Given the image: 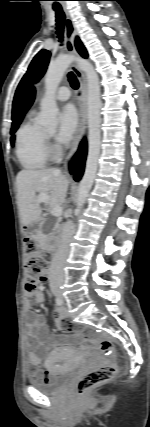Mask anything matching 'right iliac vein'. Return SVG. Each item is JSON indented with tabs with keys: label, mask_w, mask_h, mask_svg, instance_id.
Here are the masks:
<instances>
[{
	"label": "right iliac vein",
	"mask_w": 150,
	"mask_h": 427,
	"mask_svg": "<svg viewBox=\"0 0 150 427\" xmlns=\"http://www.w3.org/2000/svg\"><path fill=\"white\" fill-rule=\"evenodd\" d=\"M55 293H56L57 295H60V292H59V291H56Z\"/></svg>",
	"instance_id": "obj_1"
}]
</instances>
